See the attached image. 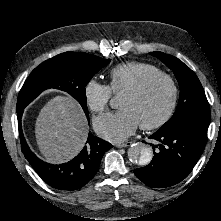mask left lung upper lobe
Returning <instances> with one entry per match:
<instances>
[{
  "label": "left lung upper lobe",
  "instance_id": "1",
  "mask_svg": "<svg viewBox=\"0 0 221 221\" xmlns=\"http://www.w3.org/2000/svg\"><path fill=\"white\" fill-rule=\"evenodd\" d=\"M173 70L179 86L180 98L172 118L158 131L174 132L182 127L193 126L207 130L210 123V106L196 74L182 61L162 52H151Z\"/></svg>",
  "mask_w": 221,
  "mask_h": 221
}]
</instances>
